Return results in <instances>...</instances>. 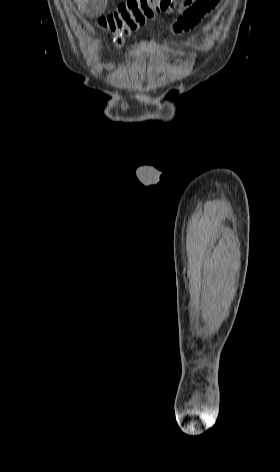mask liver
<instances>
[{"label":"liver","instance_id":"1","mask_svg":"<svg viewBox=\"0 0 280 472\" xmlns=\"http://www.w3.org/2000/svg\"><path fill=\"white\" fill-rule=\"evenodd\" d=\"M75 2L77 3L78 8L80 9V11L82 13H84L86 11V4H87L88 0H75Z\"/></svg>","mask_w":280,"mask_h":472}]
</instances>
